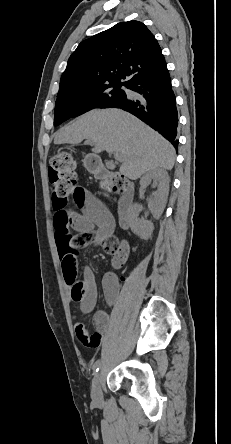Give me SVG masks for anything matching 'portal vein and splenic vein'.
Wrapping results in <instances>:
<instances>
[{"label":"portal vein and splenic vein","mask_w":231,"mask_h":444,"mask_svg":"<svg viewBox=\"0 0 231 444\" xmlns=\"http://www.w3.org/2000/svg\"><path fill=\"white\" fill-rule=\"evenodd\" d=\"M86 143H93V141H91V140H87L86 141ZM114 158H115V160H117V161H122V156L119 154V153H115L114 154Z\"/></svg>","instance_id":"1"}]
</instances>
